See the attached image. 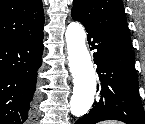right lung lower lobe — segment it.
I'll use <instances>...</instances> for the list:
<instances>
[{
  "mask_svg": "<svg viewBox=\"0 0 145 124\" xmlns=\"http://www.w3.org/2000/svg\"><path fill=\"white\" fill-rule=\"evenodd\" d=\"M43 36L0 41V124H23L34 113Z\"/></svg>",
  "mask_w": 145,
  "mask_h": 124,
  "instance_id": "1",
  "label": "right lung lower lobe"
}]
</instances>
